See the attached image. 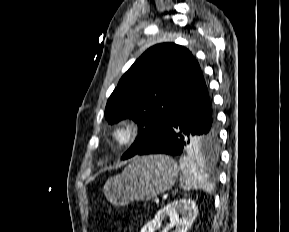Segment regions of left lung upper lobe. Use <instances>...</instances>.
Masks as SVG:
<instances>
[{"mask_svg": "<svg viewBox=\"0 0 289 232\" xmlns=\"http://www.w3.org/2000/svg\"><path fill=\"white\" fill-rule=\"evenodd\" d=\"M201 74L191 52L174 43L155 45L135 61L120 79L105 108V118L111 124L125 118L138 124V137L122 159L134 156L162 132L182 97ZM217 148L218 138L206 148L195 144V149L200 151L215 152Z\"/></svg>", "mask_w": 289, "mask_h": 232, "instance_id": "5c2ea615", "label": "left lung upper lobe"}]
</instances>
